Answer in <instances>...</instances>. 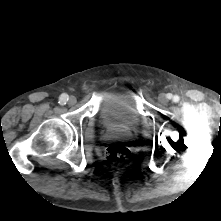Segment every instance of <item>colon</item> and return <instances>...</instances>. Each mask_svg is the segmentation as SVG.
Returning <instances> with one entry per match:
<instances>
[{"label": "colon", "mask_w": 221, "mask_h": 221, "mask_svg": "<svg viewBox=\"0 0 221 221\" xmlns=\"http://www.w3.org/2000/svg\"><path fill=\"white\" fill-rule=\"evenodd\" d=\"M129 157L130 150L122 144H112L105 151V158L112 165L124 163Z\"/></svg>", "instance_id": "colon-1"}]
</instances>
